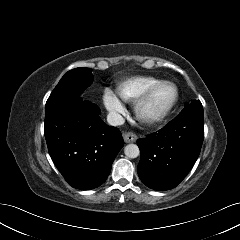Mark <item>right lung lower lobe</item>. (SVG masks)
<instances>
[{
	"instance_id": "right-lung-lower-lobe-1",
	"label": "right lung lower lobe",
	"mask_w": 240,
	"mask_h": 240,
	"mask_svg": "<svg viewBox=\"0 0 240 240\" xmlns=\"http://www.w3.org/2000/svg\"><path fill=\"white\" fill-rule=\"evenodd\" d=\"M100 109L81 96L46 105L44 134L49 154L72 187L90 190L104 183L124 145L118 128L106 125Z\"/></svg>"
}]
</instances>
